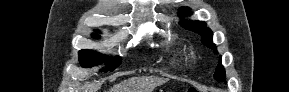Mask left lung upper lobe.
<instances>
[{
	"instance_id": "obj_1",
	"label": "left lung upper lobe",
	"mask_w": 289,
	"mask_h": 92,
	"mask_svg": "<svg viewBox=\"0 0 289 92\" xmlns=\"http://www.w3.org/2000/svg\"><path fill=\"white\" fill-rule=\"evenodd\" d=\"M187 15H191V10L188 7L186 8L182 7L179 11V16L185 17ZM180 24L185 29H188L190 31L197 32L198 34H200L202 36V39H201L202 43L205 44L207 47L213 49L214 52L217 53V47L212 42L213 33L208 27H206L207 24L205 22L182 20ZM214 78L217 81H225V69L221 64V61L216 68V71L214 73Z\"/></svg>"
}]
</instances>
